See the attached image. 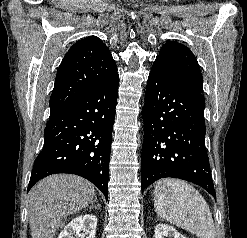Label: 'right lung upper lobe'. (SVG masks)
Listing matches in <instances>:
<instances>
[{
  "instance_id": "cb5924a9",
  "label": "right lung upper lobe",
  "mask_w": 247,
  "mask_h": 238,
  "mask_svg": "<svg viewBox=\"0 0 247 238\" xmlns=\"http://www.w3.org/2000/svg\"><path fill=\"white\" fill-rule=\"evenodd\" d=\"M117 73L109 49L96 36L76 42L63 58L50 98L51 112L86 95Z\"/></svg>"
}]
</instances>
